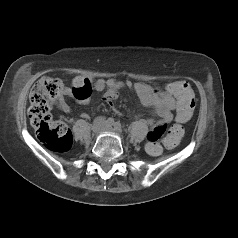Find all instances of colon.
<instances>
[{
	"label": "colon",
	"mask_w": 238,
	"mask_h": 238,
	"mask_svg": "<svg viewBox=\"0 0 238 238\" xmlns=\"http://www.w3.org/2000/svg\"><path fill=\"white\" fill-rule=\"evenodd\" d=\"M64 90L61 80L43 77L30 92V107L28 110L30 122L40 140L56 151H65L71 144V134L68 128L62 122L53 121L51 113L53 102L64 93ZM174 91L178 100L174 119L177 123L182 124L193 113L195 107L194 93L186 82H181ZM165 131L166 127L159 125L152 128L148 133L147 140L149 143L146 150L150 155L156 156L161 153L162 147L158 144V141ZM183 133V128L180 125L172 126L163 140L164 146L172 148L178 145Z\"/></svg>",
	"instance_id": "colon-1"
}]
</instances>
